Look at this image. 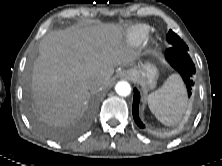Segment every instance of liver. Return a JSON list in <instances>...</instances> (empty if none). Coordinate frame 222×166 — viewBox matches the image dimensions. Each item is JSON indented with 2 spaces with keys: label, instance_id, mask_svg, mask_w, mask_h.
I'll return each mask as SVG.
<instances>
[{
  "label": "liver",
  "instance_id": "obj_1",
  "mask_svg": "<svg viewBox=\"0 0 222 166\" xmlns=\"http://www.w3.org/2000/svg\"><path fill=\"white\" fill-rule=\"evenodd\" d=\"M124 27H71L44 36L33 67L32 92L45 123L65 126L83 111L96 81L110 83L114 68L131 64L135 53L123 46Z\"/></svg>",
  "mask_w": 222,
  "mask_h": 166
}]
</instances>
